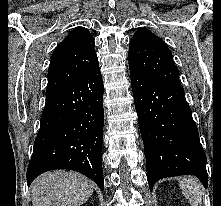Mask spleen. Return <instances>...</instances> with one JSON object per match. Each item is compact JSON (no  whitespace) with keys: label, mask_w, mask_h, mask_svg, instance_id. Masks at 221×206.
<instances>
[{"label":"spleen","mask_w":221,"mask_h":206,"mask_svg":"<svg viewBox=\"0 0 221 206\" xmlns=\"http://www.w3.org/2000/svg\"><path fill=\"white\" fill-rule=\"evenodd\" d=\"M179 186L191 206L201 205V186L198 181L193 178L184 177L179 182Z\"/></svg>","instance_id":"spleen-1"}]
</instances>
